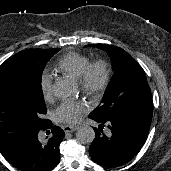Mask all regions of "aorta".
Wrapping results in <instances>:
<instances>
[{"label": "aorta", "instance_id": "obj_1", "mask_svg": "<svg viewBox=\"0 0 171 171\" xmlns=\"http://www.w3.org/2000/svg\"><path fill=\"white\" fill-rule=\"evenodd\" d=\"M53 93L56 97L65 99L75 96L77 88L74 82L61 79L54 84ZM76 138L82 144H91L95 138V131L90 126H82L77 130Z\"/></svg>", "mask_w": 171, "mask_h": 171}]
</instances>
